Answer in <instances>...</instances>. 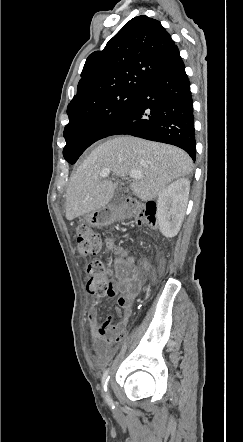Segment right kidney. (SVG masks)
I'll return each instance as SVG.
<instances>
[{
    "mask_svg": "<svg viewBox=\"0 0 243 442\" xmlns=\"http://www.w3.org/2000/svg\"><path fill=\"white\" fill-rule=\"evenodd\" d=\"M190 181L181 178L170 184L158 195L157 220L160 232L166 237H174L184 219Z\"/></svg>",
    "mask_w": 243,
    "mask_h": 442,
    "instance_id": "1",
    "label": "right kidney"
}]
</instances>
